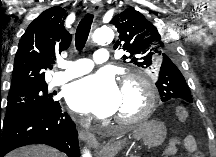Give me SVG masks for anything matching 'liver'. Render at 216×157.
<instances>
[{
	"mask_svg": "<svg viewBox=\"0 0 216 157\" xmlns=\"http://www.w3.org/2000/svg\"><path fill=\"white\" fill-rule=\"evenodd\" d=\"M64 154L60 153L54 148L46 145H29L21 147L9 153L7 157H63Z\"/></svg>",
	"mask_w": 216,
	"mask_h": 157,
	"instance_id": "obj_1",
	"label": "liver"
}]
</instances>
